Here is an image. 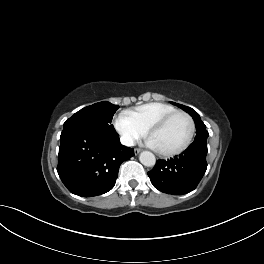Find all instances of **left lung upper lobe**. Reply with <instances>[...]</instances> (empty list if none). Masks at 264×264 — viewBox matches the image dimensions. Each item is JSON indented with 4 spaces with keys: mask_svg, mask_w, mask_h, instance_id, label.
<instances>
[{
    "mask_svg": "<svg viewBox=\"0 0 264 264\" xmlns=\"http://www.w3.org/2000/svg\"><path fill=\"white\" fill-rule=\"evenodd\" d=\"M173 104L180 107L184 111L188 112L193 117L195 124H196V129H197L194 142L206 143L209 133L206 130L205 124L201 121L199 114L188 106H184V105L174 103V102Z\"/></svg>",
    "mask_w": 264,
    "mask_h": 264,
    "instance_id": "1",
    "label": "left lung upper lobe"
}]
</instances>
